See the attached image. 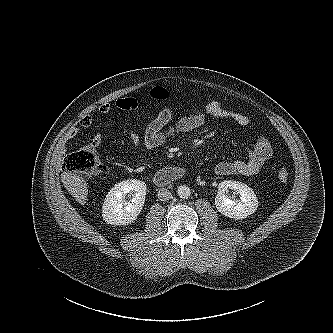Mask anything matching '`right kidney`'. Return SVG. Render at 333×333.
Instances as JSON below:
<instances>
[{
  "instance_id": "1",
  "label": "right kidney",
  "mask_w": 333,
  "mask_h": 333,
  "mask_svg": "<svg viewBox=\"0 0 333 333\" xmlns=\"http://www.w3.org/2000/svg\"><path fill=\"white\" fill-rule=\"evenodd\" d=\"M147 186L137 179L124 180L116 184L106 195L102 207V217L107 224L128 225L141 213ZM127 194L132 199L127 201Z\"/></svg>"
}]
</instances>
